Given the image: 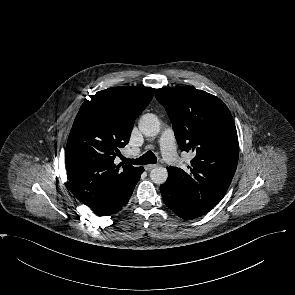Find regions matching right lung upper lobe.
I'll list each match as a JSON object with an SVG mask.
<instances>
[{"instance_id": "obj_1", "label": "right lung upper lobe", "mask_w": 295, "mask_h": 295, "mask_svg": "<svg viewBox=\"0 0 295 295\" xmlns=\"http://www.w3.org/2000/svg\"><path fill=\"white\" fill-rule=\"evenodd\" d=\"M154 92L148 87H112L82 104L68 137L66 168L73 193L93 211L112 204L133 180L138 168L116 165L114 159Z\"/></svg>"}]
</instances>
